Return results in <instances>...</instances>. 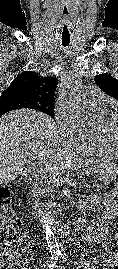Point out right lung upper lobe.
Returning a JSON list of instances; mask_svg holds the SVG:
<instances>
[{"instance_id":"cb5924a9","label":"right lung upper lobe","mask_w":118,"mask_h":269,"mask_svg":"<svg viewBox=\"0 0 118 269\" xmlns=\"http://www.w3.org/2000/svg\"><path fill=\"white\" fill-rule=\"evenodd\" d=\"M58 80L54 77H41L36 72L24 71L2 93L21 94L45 105H54V95Z\"/></svg>"}]
</instances>
